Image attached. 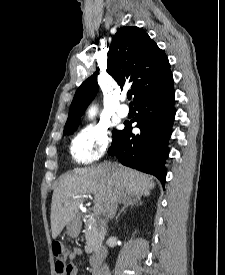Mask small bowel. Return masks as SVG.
I'll list each match as a JSON object with an SVG mask.
<instances>
[{"label": "small bowel", "mask_w": 225, "mask_h": 275, "mask_svg": "<svg viewBox=\"0 0 225 275\" xmlns=\"http://www.w3.org/2000/svg\"><path fill=\"white\" fill-rule=\"evenodd\" d=\"M82 254V250L79 247L73 249L69 255L68 272L65 275H77V266L75 261Z\"/></svg>", "instance_id": "obj_1"}]
</instances>
